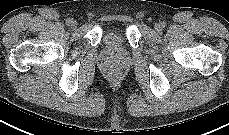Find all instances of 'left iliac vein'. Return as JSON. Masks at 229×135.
I'll return each instance as SVG.
<instances>
[{
    "label": "left iliac vein",
    "instance_id": "1",
    "mask_svg": "<svg viewBox=\"0 0 229 135\" xmlns=\"http://www.w3.org/2000/svg\"><path fill=\"white\" fill-rule=\"evenodd\" d=\"M154 29L156 31H160L162 29L161 24L160 23L155 24Z\"/></svg>",
    "mask_w": 229,
    "mask_h": 135
}]
</instances>
